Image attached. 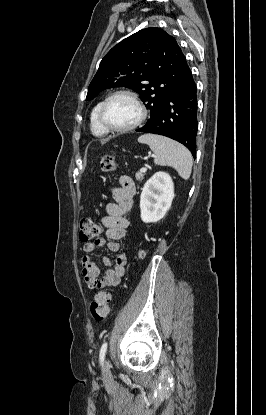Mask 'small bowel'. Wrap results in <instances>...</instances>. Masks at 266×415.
Instances as JSON below:
<instances>
[{
	"label": "small bowel",
	"instance_id": "obj_1",
	"mask_svg": "<svg viewBox=\"0 0 266 415\" xmlns=\"http://www.w3.org/2000/svg\"><path fill=\"white\" fill-rule=\"evenodd\" d=\"M119 182V187L111 189L114 202L107 204V215L103 218L107 239L100 237L83 245V251L86 255L82 258V274L90 289L117 286L125 274L127 256L123 253L116 256L113 267H110L111 261L108 257L102 258L103 265L107 267L102 276L100 268L88 256L101 247H107L110 251L117 252L120 248L119 240L127 234L130 222L125 214L133 208L136 186L128 176H122Z\"/></svg>",
	"mask_w": 266,
	"mask_h": 415
}]
</instances>
